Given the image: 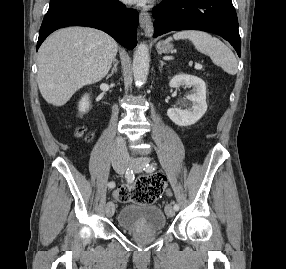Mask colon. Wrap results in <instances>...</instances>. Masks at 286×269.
<instances>
[{"label":"colon","mask_w":286,"mask_h":269,"mask_svg":"<svg viewBox=\"0 0 286 269\" xmlns=\"http://www.w3.org/2000/svg\"><path fill=\"white\" fill-rule=\"evenodd\" d=\"M77 134L80 137L91 139L92 134L85 128H79ZM166 184L162 175L140 176L133 185H123L116 188L113 196L120 202H138L148 204L153 202L162 192Z\"/></svg>","instance_id":"5ec220e1"}]
</instances>
